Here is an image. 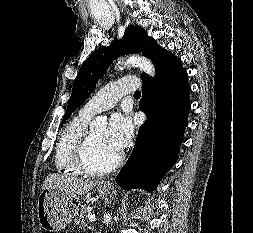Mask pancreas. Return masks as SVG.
Returning <instances> with one entry per match:
<instances>
[{"instance_id": "1", "label": "pancreas", "mask_w": 253, "mask_h": 233, "mask_svg": "<svg viewBox=\"0 0 253 233\" xmlns=\"http://www.w3.org/2000/svg\"><path fill=\"white\" fill-rule=\"evenodd\" d=\"M92 214L90 209L87 206H82L80 213L75 218V223L79 225L80 227H84L88 225V218L87 215Z\"/></svg>"}]
</instances>
